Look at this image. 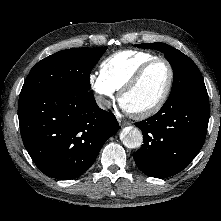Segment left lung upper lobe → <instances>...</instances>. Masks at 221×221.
I'll use <instances>...</instances> for the list:
<instances>
[{
    "label": "left lung upper lobe",
    "mask_w": 221,
    "mask_h": 221,
    "mask_svg": "<svg viewBox=\"0 0 221 221\" xmlns=\"http://www.w3.org/2000/svg\"><path fill=\"white\" fill-rule=\"evenodd\" d=\"M140 48L156 49L165 54L173 69L170 96L186 92H205L203 77L196 64L181 51L165 43L136 44Z\"/></svg>",
    "instance_id": "left-lung-upper-lobe-1"
}]
</instances>
